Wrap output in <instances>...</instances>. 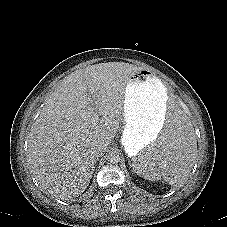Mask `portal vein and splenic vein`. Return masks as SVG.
Listing matches in <instances>:
<instances>
[{"instance_id": "1", "label": "portal vein and splenic vein", "mask_w": 227, "mask_h": 227, "mask_svg": "<svg viewBox=\"0 0 227 227\" xmlns=\"http://www.w3.org/2000/svg\"><path fill=\"white\" fill-rule=\"evenodd\" d=\"M98 120H99L98 115L97 114H94L93 117H92V119H91L92 123L95 124V123L98 122Z\"/></svg>"}]
</instances>
